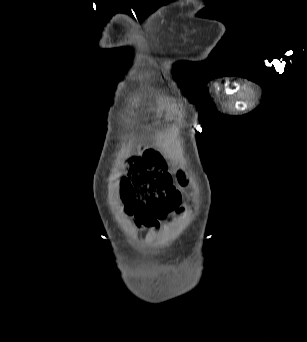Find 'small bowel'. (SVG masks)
<instances>
[{"label":"small bowel","mask_w":307,"mask_h":342,"mask_svg":"<svg viewBox=\"0 0 307 342\" xmlns=\"http://www.w3.org/2000/svg\"><path fill=\"white\" fill-rule=\"evenodd\" d=\"M129 211L132 214L130 222L137 231L142 232L147 229L153 236L158 234L159 225L146 204L144 206H129Z\"/></svg>","instance_id":"c3829d8e"}]
</instances>
